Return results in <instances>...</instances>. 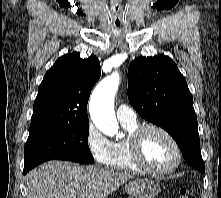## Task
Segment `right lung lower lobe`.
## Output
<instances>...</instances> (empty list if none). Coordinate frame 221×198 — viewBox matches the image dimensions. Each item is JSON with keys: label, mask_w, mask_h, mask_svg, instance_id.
Wrapping results in <instances>:
<instances>
[{"label": "right lung lower lobe", "mask_w": 221, "mask_h": 198, "mask_svg": "<svg viewBox=\"0 0 221 198\" xmlns=\"http://www.w3.org/2000/svg\"><path fill=\"white\" fill-rule=\"evenodd\" d=\"M27 172H29V170H24V172H23V173H24V174H26Z\"/></svg>", "instance_id": "obj_1"}]
</instances>
